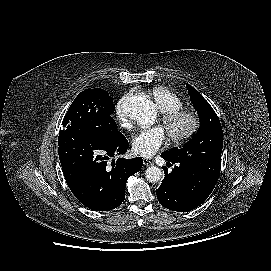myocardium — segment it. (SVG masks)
Masks as SVG:
<instances>
[{
  "label": "myocardium",
  "mask_w": 271,
  "mask_h": 271,
  "mask_svg": "<svg viewBox=\"0 0 271 271\" xmlns=\"http://www.w3.org/2000/svg\"><path fill=\"white\" fill-rule=\"evenodd\" d=\"M162 122L167 133L175 144H182L191 139L200 127V119L198 115L191 110L176 109L162 112ZM180 122L184 123L181 130L176 129V125Z\"/></svg>",
  "instance_id": "1"
}]
</instances>
